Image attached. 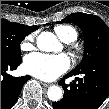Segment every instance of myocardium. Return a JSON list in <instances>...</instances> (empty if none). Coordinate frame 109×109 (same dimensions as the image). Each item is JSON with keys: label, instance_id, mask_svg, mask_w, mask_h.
<instances>
[{"label": "myocardium", "instance_id": "obj_1", "mask_svg": "<svg viewBox=\"0 0 109 109\" xmlns=\"http://www.w3.org/2000/svg\"><path fill=\"white\" fill-rule=\"evenodd\" d=\"M74 57H75L76 59H78V58H79V54H78L77 52H75Z\"/></svg>", "mask_w": 109, "mask_h": 109}]
</instances>
